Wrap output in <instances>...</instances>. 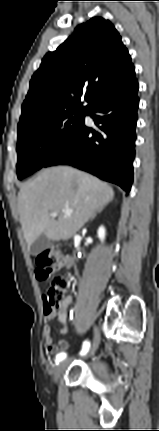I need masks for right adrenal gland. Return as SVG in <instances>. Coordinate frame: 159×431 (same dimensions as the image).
<instances>
[{"label":"right adrenal gland","mask_w":159,"mask_h":431,"mask_svg":"<svg viewBox=\"0 0 159 431\" xmlns=\"http://www.w3.org/2000/svg\"><path fill=\"white\" fill-rule=\"evenodd\" d=\"M103 207H104V206H103ZM103 207L99 208V209L97 210V213H100V212L103 210ZM95 216H96V213L94 214V216H93L91 219H93Z\"/></svg>","instance_id":"right-adrenal-gland-1"}]
</instances>
